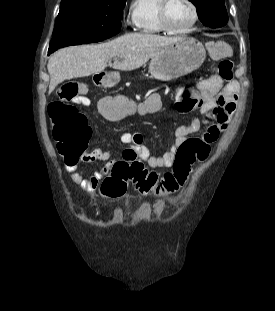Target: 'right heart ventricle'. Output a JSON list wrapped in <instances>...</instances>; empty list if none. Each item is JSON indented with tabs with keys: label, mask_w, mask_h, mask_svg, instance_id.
<instances>
[{
	"label": "right heart ventricle",
	"mask_w": 275,
	"mask_h": 311,
	"mask_svg": "<svg viewBox=\"0 0 275 311\" xmlns=\"http://www.w3.org/2000/svg\"><path fill=\"white\" fill-rule=\"evenodd\" d=\"M160 0H133L131 16L136 29L143 34H162L158 18Z\"/></svg>",
	"instance_id": "obj_1"
}]
</instances>
